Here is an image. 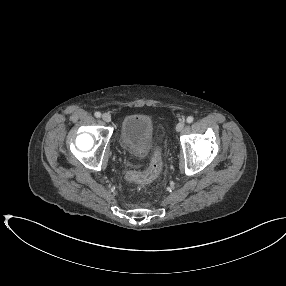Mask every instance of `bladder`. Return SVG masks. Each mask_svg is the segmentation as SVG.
<instances>
[{"mask_svg":"<svg viewBox=\"0 0 286 286\" xmlns=\"http://www.w3.org/2000/svg\"><path fill=\"white\" fill-rule=\"evenodd\" d=\"M154 140V127L146 115H129L121 124L119 143L121 148L136 156H145Z\"/></svg>","mask_w":286,"mask_h":286,"instance_id":"31cf9c89","label":"bladder"}]
</instances>
